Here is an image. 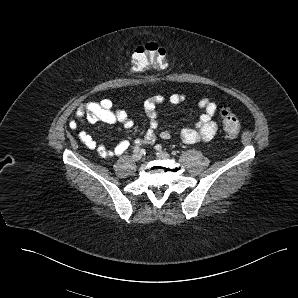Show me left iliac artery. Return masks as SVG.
<instances>
[{
  "label": "left iliac artery",
  "mask_w": 298,
  "mask_h": 298,
  "mask_svg": "<svg viewBox=\"0 0 298 298\" xmlns=\"http://www.w3.org/2000/svg\"><path fill=\"white\" fill-rule=\"evenodd\" d=\"M155 149H156L157 151H161V150H162V146L158 144V145L155 146Z\"/></svg>",
  "instance_id": "1"
}]
</instances>
